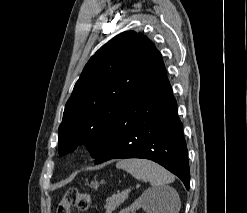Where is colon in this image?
Here are the masks:
<instances>
[{"label": "colon", "instance_id": "colon-1", "mask_svg": "<svg viewBox=\"0 0 247 213\" xmlns=\"http://www.w3.org/2000/svg\"><path fill=\"white\" fill-rule=\"evenodd\" d=\"M91 205L90 196L75 188L69 189L57 206V213H72L73 209L86 211Z\"/></svg>", "mask_w": 247, "mask_h": 213}]
</instances>
